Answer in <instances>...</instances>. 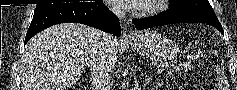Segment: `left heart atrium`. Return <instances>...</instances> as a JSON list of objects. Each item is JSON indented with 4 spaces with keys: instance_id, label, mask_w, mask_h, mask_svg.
Instances as JSON below:
<instances>
[{
    "instance_id": "39dd6f15",
    "label": "left heart atrium",
    "mask_w": 237,
    "mask_h": 90,
    "mask_svg": "<svg viewBox=\"0 0 237 90\" xmlns=\"http://www.w3.org/2000/svg\"><path fill=\"white\" fill-rule=\"evenodd\" d=\"M114 7H122V10H138L142 3H152V0H112Z\"/></svg>"
}]
</instances>
